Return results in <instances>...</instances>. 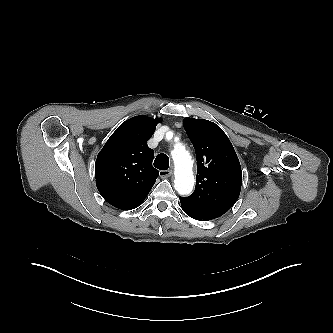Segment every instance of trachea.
Wrapping results in <instances>:
<instances>
[{
    "label": "trachea",
    "instance_id": "1",
    "mask_svg": "<svg viewBox=\"0 0 333 333\" xmlns=\"http://www.w3.org/2000/svg\"><path fill=\"white\" fill-rule=\"evenodd\" d=\"M154 166L159 170H168L169 168V158L166 154H159L155 161Z\"/></svg>",
    "mask_w": 333,
    "mask_h": 333
}]
</instances>
